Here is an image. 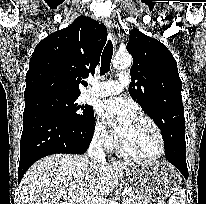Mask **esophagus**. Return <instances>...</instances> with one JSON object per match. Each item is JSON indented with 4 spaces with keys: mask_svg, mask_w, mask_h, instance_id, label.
I'll return each instance as SVG.
<instances>
[{
    "mask_svg": "<svg viewBox=\"0 0 206 204\" xmlns=\"http://www.w3.org/2000/svg\"><path fill=\"white\" fill-rule=\"evenodd\" d=\"M103 23L107 27V29L109 30V32L111 34L112 43H113L114 47H116V45H117V38H116V35H115V32H114V25H113V23L108 18L104 19Z\"/></svg>",
    "mask_w": 206,
    "mask_h": 204,
    "instance_id": "1",
    "label": "esophagus"
}]
</instances>
